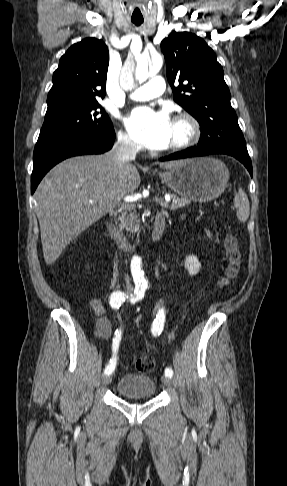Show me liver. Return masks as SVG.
I'll list each match as a JSON object with an SVG mask.
<instances>
[{"mask_svg":"<svg viewBox=\"0 0 287 486\" xmlns=\"http://www.w3.org/2000/svg\"><path fill=\"white\" fill-rule=\"evenodd\" d=\"M181 162L159 166L171 169ZM140 181L134 165L118 166L110 153L73 157L51 169L35 192L46 264H53L70 242L133 193Z\"/></svg>","mask_w":287,"mask_h":486,"instance_id":"1","label":"liver"}]
</instances>
